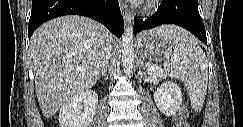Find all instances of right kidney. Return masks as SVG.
I'll use <instances>...</instances> for the list:
<instances>
[{
	"label": "right kidney",
	"instance_id": "1",
	"mask_svg": "<svg viewBox=\"0 0 243 127\" xmlns=\"http://www.w3.org/2000/svg\"><path fill=\"white\" fill-rule=\"evenodd\" d=\"M98 106L94 90L82 91L63 103L59 113L61 127H88Z\"/></svg>",
	"mask_w": 243,
	"mask_h": 127
}]
</instances>
